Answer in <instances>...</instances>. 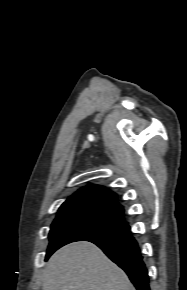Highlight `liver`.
<instances>
[{
    "instance_id": "obj_1",
    "label": "liver",
    "mask_w": 187,
    "mask_h": 290,
    "mask_svg": "<svg viewBox=\"0 0 187 290\" xmlns=\"http://www.w3.org/2000/svg\"><path fill=\"white\" fill-rule=\"evenodd\" d=\"M42 282V290H136L125 272L87 241L57 250Z\"/></svg>"
}]
</instances>
